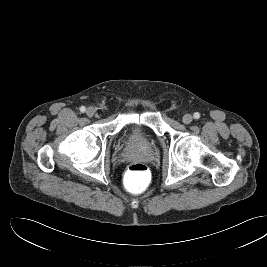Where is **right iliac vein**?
Returning <instances> with one entry per match:
<instances>
[{"label": "right iliac vein", "instance_id": "right-iliac-vein-1", "mask_svg": "<svg viewBox=\"0 0 267 267\" xmlns=\"http://www.w3.org/2000/svg\"><path fill=\"white\" fill-rule=\"evenodd\" d=\"M96 113V110L93 108V107H89L87 110H86V115L88 117H93Z\"/></svg>", "mask_w": 267, "mask_h": 267}]
</instances>
